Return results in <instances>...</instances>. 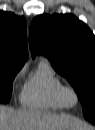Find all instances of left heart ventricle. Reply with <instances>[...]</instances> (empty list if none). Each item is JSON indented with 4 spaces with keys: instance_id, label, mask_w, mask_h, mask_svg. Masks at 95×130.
<instances>
[{
    "instance_id": "b2bd125f",
    "label": "left heart ventricle",
    "mask_w": 95,
    "mask_h": 130,
    "mask_svg": "<svg viewBox=\"0 0 95 130\" xmlns=\"http://www.w3.org/2000/svg\"><path fill=\"white\" fill-rule=\"evenodd\" d=\"M69 101H70L71 103H74V102H75V98H74L73 95H69Z\"/></svg>"
}]
</instances>
